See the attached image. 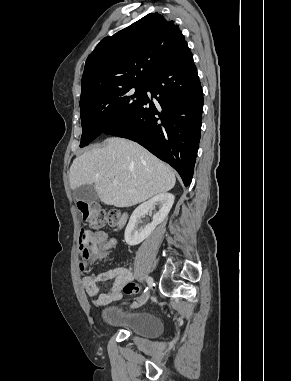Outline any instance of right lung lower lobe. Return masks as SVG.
<instances>
[{"mask_svg":"<svg viewBox=\"0 0 291 381\" xmlns=\"http://www.w3.org/2000/svg\"><path fill=\"white\" fill-rule=\"evenodd\" d=\"M139 108L103 133L133 140L170 164L189 186L201 135L203 93L190 49L146 83Z\"/></svg>","mask_w":291,"mask_h":381,"instance_id":"right-lung-lower-lobe-1","label":"right lung lower lobe"}]
</instances>
